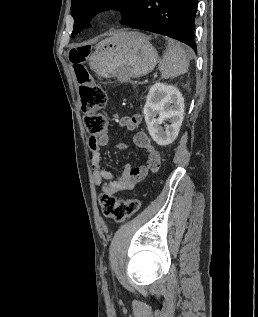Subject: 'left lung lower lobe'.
Returning <instances> with one entry per match:
<instances>
[{
  "instance_id": "1",
  "label": "left lung lower lobe",
  "mask_w": 258,
  "mask_h": 317,
  "mask_svg": "<svg viewBox=\"0 0 258 317\" xmlns=\"http://www.w3.org/2000/svg\"><path fill=\"white\" fill-rule=\"evenodd\" d=\"M197 6L198 0H141L127 25L174 38L197 52L193 36Z\"/></svg>"
}]
</instances>
